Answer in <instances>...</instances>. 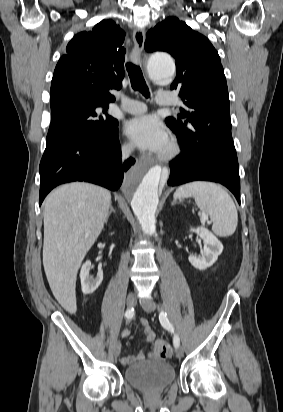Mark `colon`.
<instances>
[{
    "label": "colon",
    "mask_w": 283,
    "mask_h": 412,
    "mask_svg": "<svg viewBox=\"0 0 283 412\" xmlns=\"http://www.w3.org/2000/svg\"><path fill=\"white\" fill-rule=\"evenodd\" d=\"M153 352L158 358H166L171 355L172 350L167 342L155 340L153 341Z\"/></svg>",
    "instance_id": "1"
}]
</instances>
